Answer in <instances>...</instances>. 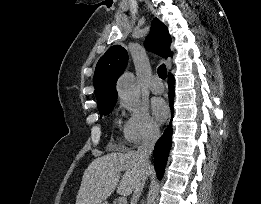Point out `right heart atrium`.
Segmentation results:
<instances>
[{"label":"right heart atrium","instance_id":"d8ad5b80","mask_svg":"<svg viewBox=\"0 0 261 204\" xmlns=\"http://www.w3.org/2000/svg\"><path fill=\"white\" fill-rule=\"evenodd\" d=\"M120 107L128 112L123 126V137L127 145L136 146L158 136L159 126L145 105L122 101Z\"/></svg>","mask_w":261,"mask_h":204}]
</instances>
